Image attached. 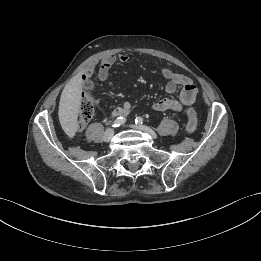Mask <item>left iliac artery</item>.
Wrapping results in <instances>:
<instances>
[{"label": "left iliac artery", "instance_id": "left-iliac-artery-1", "mask_svg": "<svg viewBox=\"0 0 261 261\" xmlns=\"http://www.w3.org/2000/svg\"><path fill=\"white\" fill-rule=\"evenodd\" d=\"M135 123L138 124V125H142L143 124V118L142 117H137L135 119Z\"/></svg>", "mask_w": 261, "mask_h": 261}]
</instances>
